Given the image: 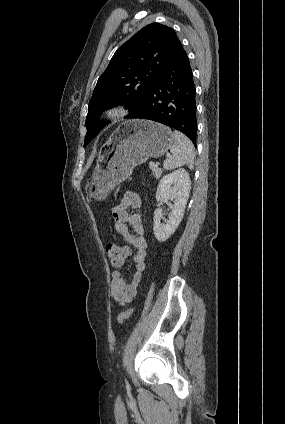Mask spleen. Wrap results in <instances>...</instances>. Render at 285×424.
Segmentation results:
<instances>
[{
	"label": "spleen",
	"mask_w": 285,
	"mask_h": 424,
	"mask_svg": "<svg viewBox=\"0 0 285 424\" xmlns=\"http://www.w3.org/2000/svg\"><path fill=\"white\" fill-rule=\"evenodd\" d=\"M174 144L170 151L171 156L163 163L165 169H174L187 165L190 169L194 167V146L190 139L179 131H174Z\"/></svg>",
	"instance_id": "1"
}]
</instances>
